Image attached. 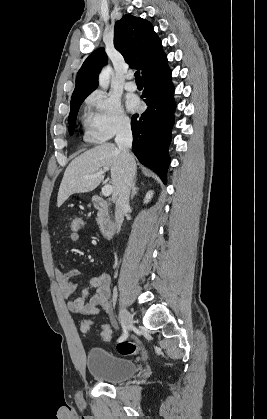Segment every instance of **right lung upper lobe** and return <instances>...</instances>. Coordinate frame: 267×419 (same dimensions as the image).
I'll return each instance as SVG.
<instances>
[{"instance_id": "1", "label": "right lung upper lobe", "mask_w": 267, "mask_h": 419, "mask_svg": "<svg viewBox=\"0 0 267 419\" xmlns=\"http://www.w3.org/2000/svg\"><path fill=\"white\" fill-rule=\"evenodd\" d=\"M114 46L131 67L140 69L142 76L167 61L161 40L150 22L132 15H124L114 28ZM107 64L104 48H99L84 61L76 76L72 98L88 96L98 86V74Z\"/></svg>"}]
</instances>
